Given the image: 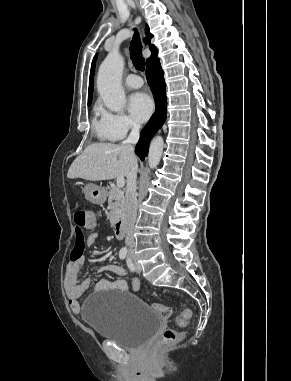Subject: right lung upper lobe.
<instances>
[{
	"label": "right lung upper lobe",
	"instance_id": "1",
	"mask_svg": "<svg viewBox=\"0 0 291 381\" xmlns=\"http://www.w3.org/2000/svg\"><path fill=\"white\" fill-rule=\"evenodd\" d=\"M145 35H146L145 43H150V40L153 37V35L149 32V27L148 26H146ZM150 50H151L152 54H151L150 58H148V60L146 62L147 65L158 59L157 58V49H156V47L154 45H150ZM96 58H97V56L94 57L93 62H92V66H91L90 81H89V91H88V104L91 103V100H92L93 75H94V68H95Z\"/></svg>",
	"mask_w": 291,
	"mask_h": 381
}]
</instances>
